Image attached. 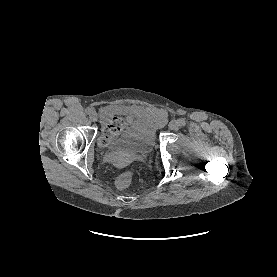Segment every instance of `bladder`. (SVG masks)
I'll return each instance as SVG.
<instances>
[{
	"instance_id": "bladder-1",
	"label": "bladder",
	"mask_w": 277,
	"mask_h": 277,
	"mask_svg": "<svg viewBox=\"0 0 277 277\" xmlns=\"http://www.w3.org/2000/svg\"><path fill=\"white\" fill-rule=\"evenodd\" d=\"M158 124L149 117H135L108 148L116 153L146 154L157 142Z\"/></svg>"
}]
</instances>
